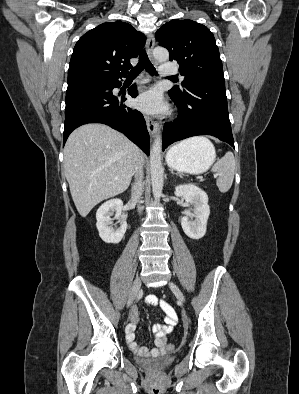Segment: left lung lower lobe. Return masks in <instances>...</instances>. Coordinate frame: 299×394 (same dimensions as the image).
<instances>
[{"mask_svg":"<svg viewBox=\"0 0 299 394\" xmlns=\"http://www.w3.org/2000/svg\"><path fill=\"white\" fill-rule=\"evenodd\" d=\"M179 109L178 117L163 128L162 150L173 142L196 136L213 135L234 147L229 120L225 81L200 79L187 84L183 94L169 91Z\"/></svg>","mask_w":299,"mask_h":394,"instance_id":"obj_1","label":"left lung lower lobe"}]
</instances>
